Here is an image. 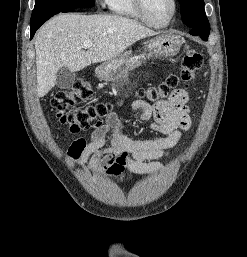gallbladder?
I'll use <instances>...</instances> for the list:
<instances>
[{
    "label": "gallbladder",
    "instance_id": "obj_1",
    "mask_svg": "<svg viewBox=\"0 0 247 257\" xmlns=\"http://www.w3.org/2000/svg\"><path fill=\"white\" fill-rule=\"evenodd\" d=\"M75 73L66 67H61L56 74V86L60 89H68L75 83Z\"/></svg>",
    "mask_w": 247,
    "mask_h": 257
}]
</instances>
